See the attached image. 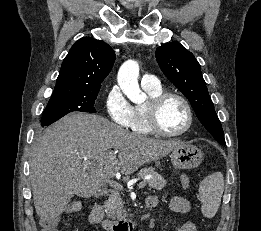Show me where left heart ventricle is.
<instances>
[{"instance_id": "b2bd125f", "label": "left heart ventricle", "mask_w": 261, "mask_h": 231, "mask_svg": "<svg viewBox=\"0 0 261 231\" xmlns=\"http://www.w3.org/2000/svg\"><path fill=\"white\" fill-rule=\"evenodd\" d=\"M187 123V112L182 102L176 98L168 99L159 111V124L168 132L180 131Z\"/></svg>"}]
</instances>
